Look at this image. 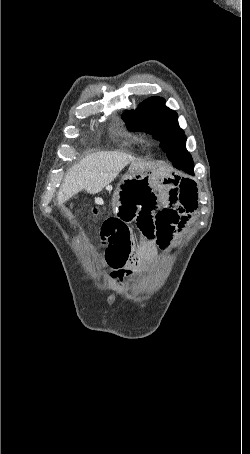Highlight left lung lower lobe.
Masks as SVG:
<instances>
[{"instance_id": "left-lung-lower-lobe-1", "label": "left lung lower lobe", "mask_w": 250, "mask_h": 454, "mask_svg": "<svg viewBox=\"0 0 250 454\" xmlns=\"http://www.w3.org/2000/svg\"><path fill=\"white\" fill-rule=\"evenodd\" d=\"M173 166L179 170H183L191 175H194V164L190 154H175V156L168 157Z\"/></svg>"}]
</instances>
